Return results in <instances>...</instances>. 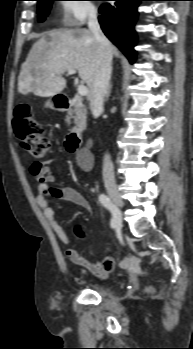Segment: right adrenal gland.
<instances>
[{
  "label": "right adrenal gland",
  "instance_id": "1",
  "mask_svg": "<svg viewBox=\"0 0 193 349\" xmlns=\"http://www.w3.org/2000/svg\"><path fill=\"white\" fill-rule=\"evenodd\" d=\"M111 89H112V84L110 83L108 90H107V94H106V101L108 100L110 93H111Z\"/></svg>",
  "mask_w": 193,
  "mask_h": 349
}]
</instances>
